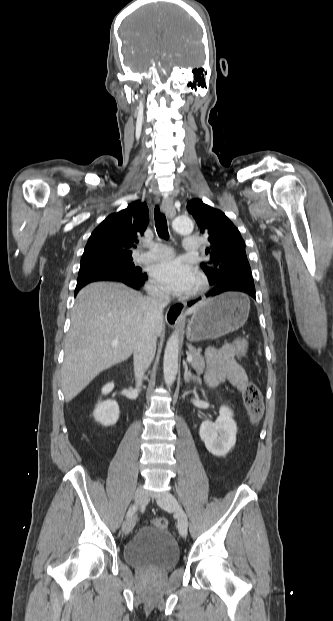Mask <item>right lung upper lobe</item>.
I'll return each mask as SVG.
<instances>
[{"label": "right lung upper lobe", "mask_w": 333, "mask_h": 621, "mask_svg": "<svg viewBox=\"0 0 333 621\" xmlns=\"http://www.w3.org/2000/svg\"><path fill=\"white\" fill-rule=\"evenodd\" d=\"M149 210L137 200L126 209L110 214L92 232L82 258L130 257L148 224Z\"/></svg>", "instance_id": "right-lung-upper-lobe-1"}]
</instances>
